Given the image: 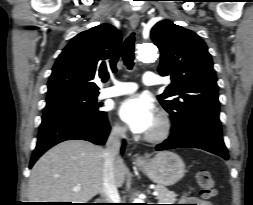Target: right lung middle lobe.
<instances>
[{
  "instance_id": "1",
  "label": "right lung middle lobe",
  "mask_w": 253,
  "mask_h": 205,
  "mask_svg": "<svg viewBox=\"0 0 253 205\" xmlns=\"http://www.w3.org/2000/svg\"><path fill=\"white\" fill-rule=\"evenodd\" d=\"M97 95L71 96L47 101L43 116L49 115H73L79 117L94 118L105 114L99 110Z\"/></svg>"
}]
</instances>
